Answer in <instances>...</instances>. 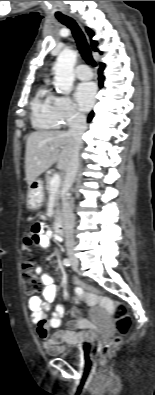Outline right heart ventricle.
Listing matches in <instances>:
<instances>
[{"instance_id": "obj_1", "label": "right heart ventricle", "mask_w": 155, "mask_h": 395, "mask_svg": "<svg viewBox=\"0 0 155 395\" xmlns=\"http://www.w3.org/2000/svg\"><path fill=\"white\" fill-rule=\"evenodd\" d=\"M54 95L46 85H42L36 92L32 103V123L38 129H56L58 128L54 113L53 101Z\"/></svg>"}]
</instances>
